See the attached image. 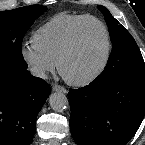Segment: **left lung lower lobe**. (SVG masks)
Instances as JSON below:
<instances>
[{"mask_svg": "<svg viewBox=\"0 0 145 145\" xmlns=\"http://www.w3.org/2000/svg\"><path fill=\"white\" fill-rule=\"evenodd\" d=\"M70 129L78 145H125L145 115V72L113 77L68 93Z\"/></svg>", "mask_w": 145, "mask_h": 145, "instance_id": "obj_1", "label": "left lung lower lobe"}]
</instances>
